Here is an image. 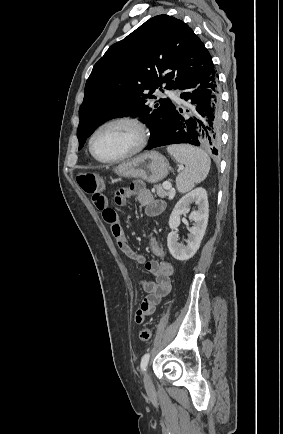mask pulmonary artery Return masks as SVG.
<instances>
[{"instance_id":"pulmonary-artery-1","label":"pulmonary artery","mask_w":283,"mask_h":434,"mask_svg":"<svg viewBox=\"0 0 283 434\" xmlns=\"http://www.w3.org/2000/svg\"><path fill=\"white\" fill-rule=\"evenodd\" d=\"M164 93L175 100H180L179 94L174 91L165 89Z\"/></svg>"}]
</instances>
